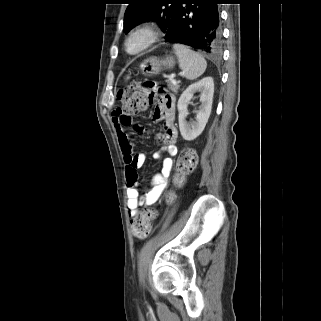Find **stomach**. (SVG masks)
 Here are the masks:
<instances>
[{
  "instance_id": "1",
  "label": "stomach",
  "mask_w": 321,
  "mask_h": 321,
  "mask_svg": "<svg viewBox=\"0 0 321 321\" xmlns=\"http://www.w3.org/2000/svg\"><path fill=\"white\" fill-rule=\"evenodd\" d=\"M175 63V58L171 55H167L165 58L150 57L141 63L140 69L143 75L152 76L159 74L163 69H173Z\"/></svg>"
}]
</instances>
